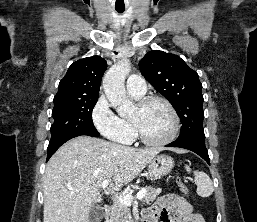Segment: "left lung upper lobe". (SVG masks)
I'll list each match as a JSON object with an SVG mask.
<instances>
[{
  "instance_id": "5c2ea615",
  "label": "left lung upper lobe",
  "mask_w": 257,
  "mask_h": 222,
  "mask_svg": "<svg viewBox=\"0 0 257 222\" xmlns=\"http://www.w3.org/2000/svg\"><path fill=\"white\" fill-rule=\"evenodd\" d=\"M139 68L179 115L182 126L177 140L205 139L202 84L197 72L179 56L159 50L148 52Z\"/></svg>"
}]
</instances>
